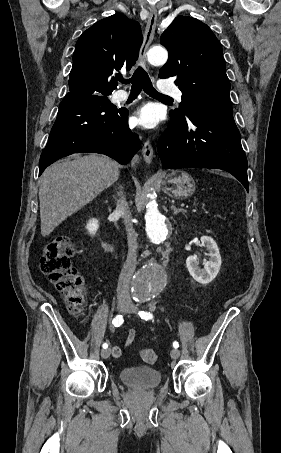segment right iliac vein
I'll list each match as a JSON object with an SVG mask.
<instances>
[{
	"label": "right iliac vein",
	"instance_id": "63e3f726",
	"mask_svg": "<svg viewBox=\"0 0 281 453\" xmlns=\"http://www.w3.org/2000/svg\"><path fill=\"white\" fill-rule=\"evenodd\" d=\"M128 305H129V301H117V303H116V306L118 309H125L126 307H128ZM110 351H111V348H107V350H102L101 351L102 358H104V359L109 358Z\"/></svg>",
	"mask_w": 281,
	"mask_h": 453
}]
</instances>
